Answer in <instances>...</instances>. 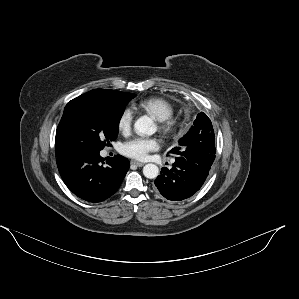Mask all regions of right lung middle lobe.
Here are the masks:
<instances>
[{
    "label": "right lung middle lobe",
    "mask_w": 299,
    "mask_h": 299,
    "mask_svg": "<svg viewBox=\"0 0 299 299\" xmlns=\"http://www.w3.org/2000/svg\"><path fill=\"white\" fill-rule=\"evenodd\" d=\"M136 95L117 92L111 96L77 97L65 107L56 131V142L67 154L101 151L116 139L127 103Z\"/></svg>",
    "instance_id": "1"
}]
</instances>
